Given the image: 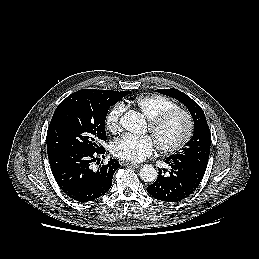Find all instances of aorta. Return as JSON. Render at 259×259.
<instances>
[{"mask_svg": "<svg viewBox=\"0 0 259 259\" xmlns=\"http://www.w3.org/2000/svg\"><path fill=\"white\" fill-rule=\"evenodd\" d=\"M122 127L134 134H144L147 128V123L139 112L128 111L120 119ZM140 178L145 182H153L158 177V172L151 164L144 165L140 169Z\"/></svg>", "mask_w": 259, "mask_h": 259, "instance_id": "aorta-1", "label": "aorta"}]
</instances>
